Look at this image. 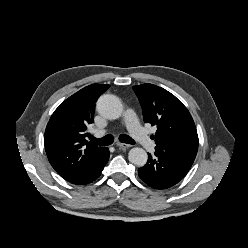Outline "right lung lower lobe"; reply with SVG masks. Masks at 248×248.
Returning <instances> with one entry per match:
<instances>
[{"label":"right lung lower lobe","instance_id":"obj_1","mask_svg":"<svg viewBox=\"0 0 248 248\" xmlns=\"http://www.w3.org/2000/svg\"><path fill=\"white\" fill-rule=\"evenodd\" d=\"M109 150L106 148L102 154L95 160V162L88 168V170L78 179L72 181V184H88L94 181L101 175V172L108 162Z\"/></svg>","mask_w":248,"mask_h":248}]
</instances>
